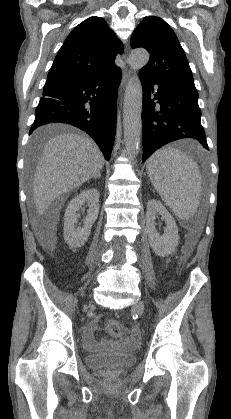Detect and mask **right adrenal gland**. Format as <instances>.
Instances as JSON below:
<instances>
[{
	"label": "right adrenal gland",
	"mask_w": 231,
	"mask_h": 419,
	"mask_svg": "<svg viewBox=\"0 0 231 419\" xmlns=\"http://www.w3.org/2000/svg\"><path fill=\"white\" fill-rule=\"evenodd\" d=\"M101 178V173L99 172L97 175L94 176V179Z\"/></svg>",
	"instance_id": "2a0ac1e0"
}]
</instances>
